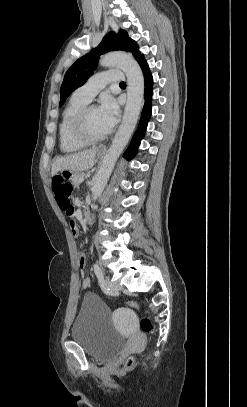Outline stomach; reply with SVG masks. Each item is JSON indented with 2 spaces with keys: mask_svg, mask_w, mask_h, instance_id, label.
Here are the masks:
<instances>
[{
  "mask_svg": "<svg viewBox=\"0 0 247 407\" xmlns=\"http://www.w3.org/2000/svg\"><path fill=\"white\" fill-rule=\"evenodd\" d=\"M101 155L102 153L99 152V156ZM60 176L61 178H70L73 181L74 178H78L79 171L75 166H62Z\"/></svg>",
  "mask_w": 247,
  "mask_h": 407,
  "instance_id": "stomach-1",
  "label": "stomach"
}]
</instances>
